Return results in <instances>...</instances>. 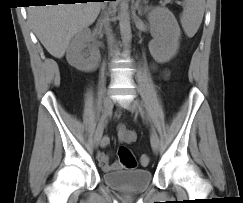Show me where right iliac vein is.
I'll use <instances>...</instances> for the list:
<instances>
[{
    "label": "right iliac vein",
    "mask_w": 243,
    "mask_h": 203,
    "mask_svg": "<svg viewBox=\"0 0 243 203\" xmlns=\"http://www.w3.org/2000/svg\"><path fill=\"white\" fill-rule=\"evenodd\" d=\"M112 107H113V100H112V97L110 94H107L104 98V102H103V115L105 117H107L111 110H112ZM102 115V116H103ZM102 134H103V124L101 127H99L95 133V136H94V146L95 148L98 147L99 143H100V140H101V137H102Z\"/></svg>",
    "instance_id": "obj_1"
}]
</instances>
